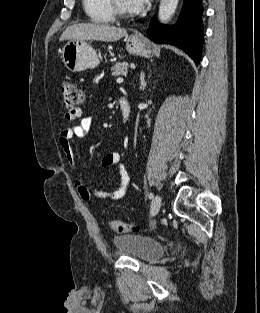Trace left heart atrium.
Wrapping results in <instances>:
<instances>
[{"label": "left heart atrium", "instance_id": "left-heart-atrium-1", "mask_svg": "<svg viewBox=\"0 0 260 313\" xmlns=\"http://www.w3.org/2000/svg\"><path fill=\"white\" fill-rule=\"evenodd\" d=\"M150 0H126L132 12H141L148 5Z\"/></svg>", "mask_w": 260, "mask_h": 313}]
</instances>
